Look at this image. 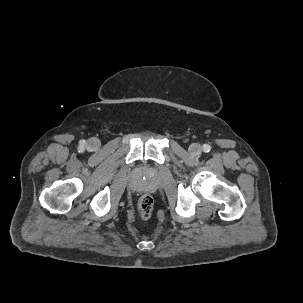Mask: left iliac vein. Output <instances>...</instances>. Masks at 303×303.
<instances>
[{"label":"left iliac vein","mask_w":303,"mask_h":303,"mask_svg":"<svg viewBox=\"0 0 303 303\" xmlns=\"http://www.w3.org/2000/svg\"><path fill=\"white\" fill-rule=\"evenodd\" d=\"M201 151H202V147L197 143L191 144L189 146V152L192 155H199L201 153Z\"/></svg>","instance_id":"1"}]
</instances>
